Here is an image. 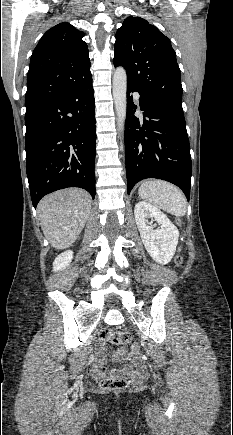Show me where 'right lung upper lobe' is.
<instances>
[{"instance_id":"obj_1","label":"right lung upper lobe","mask_w":233,"mask_h":435,"mask_svg":"<svg viewBox=\"0 0 233 435\" xmlns=\"http://www.w3.org/2000/svg\"><path fill=\"white\" fill-rule=\"evenodd\" d=\"M84 33L67 22L49 29L33 51L27 75L26 111L58 96L90 74Z\"/></svg>"}]
</instances>
